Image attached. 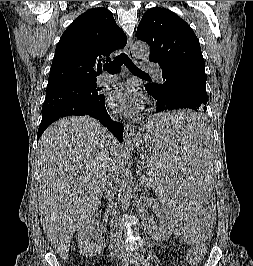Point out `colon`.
Returning <instances> with one entry per match:
<instances>
[{"label": "colon", "mask_w": 253, "mask_h": 266, "mask_svg": "<svg viewBox=\"0 0 253 266\" xmlns=\"http://www.w3.org/2000/svg\"><path fill=\"white\" fill-rule=\"evenodd\" d=\"M205 250L206 248H193L190 250L186 258L187 264L189 266H196L200 262Z\"/></svg>", "instance_id": "colon-1"}]
</instances>
